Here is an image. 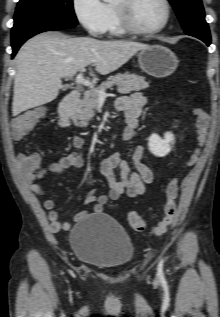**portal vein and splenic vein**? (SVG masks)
<instances>
[{
  "label": "portal vein and splenic vein",
  "instance_id": "portal-vein-and-splenic-vein-1",
  "mask_svg": "<svg viewBox=\"0 0 220 317\" xmlns=\"http://www.w3.org/2000/svg\"><path fill=\"white\" fill-rule=\"evenodd\" d=\"M84 71H85L84 68L80 70V73L76 77V83L84 85V86H87V87H89L91 89H94L93 83H91L89 80L84 79V77H83V72ZM106 97H107V93L105 92V90H99L98 91V98L99 99H105Z\"/></svg>",
  "mask_w": 220,
  "mask_h": 317
}]
</instances>
